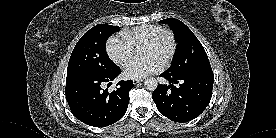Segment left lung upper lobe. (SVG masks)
Here are the masks:
<instances>
[{"label":"left lung upper lobe","mask_w":276,"mask_h":138,"mask_svg":"<svg viewBox=\"0 0 276 138\" xmlns=\"http://www.w3.org/2000/svg\"><path fill=\"white\" fill-rule=\"evenodd\" d=\"M161 22L170 26L178 43L172 65L167 72L178 77L213 73L202 44L183 22L174 18Z\"/></svg>","instance_id":"left-lung-upper-lobe-1"}]
</instances>
